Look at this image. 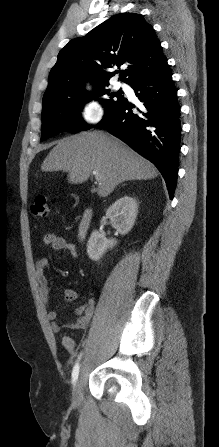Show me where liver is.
Listing matches in <instances>:
<instances>
[{"mask_svg": "<svg viewBox=\"0 0 219 447\" xmlns=\"http://www.w3.org/2000/svg\"><path fill=\"white\" fill-rule=\"evenodd\" d=\"M41 170L68 172V182L80 184L96 172L97 193L106 197L128 180H147L158 175L156 167L126 144L103 131L66 137L47 155Z\"/></svg>", "mask_w": 219, "mask_h": 447, "instance_id": "1", "label": "liver"}]
</instances>
